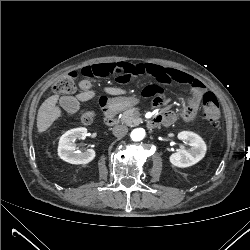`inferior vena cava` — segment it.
<instances>
[{
    "label": "inferior vena cava",
    "mask_w": 250,
    "mask_h": 250,
    "mask_svg": "<svg viewBox=\"0 0 250 250\" xmlns=\"http://www.w3.org/2000/svg\"><path fill=\"white\" fill-rule=\"evenodd\" d=\"M128 128L125 125H118L113 128V134L116 137H123L127 134Z\"/></svg>",
    "instance_id": "602c4592"
}]
</instances>
